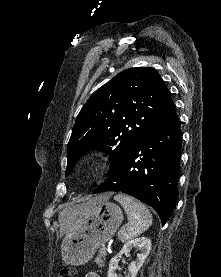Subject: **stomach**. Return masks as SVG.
<instances>
[{"label": "stomach", "mask_w": 221, "mask_h": 277, "mask_svg": "<svg viewBox=\"0 0 221 277\" xmlns=\"http://www.w3.org/2000/svg\"><path fill=\"white\" fill-rule=\"evenodd\" d=\"M95 202L96 198H92L82 204L81 211L68 224L61 242V256L66 264L88 263L123 221L119 206L109 201Z\"/></svg>", "instance_id": "0dacf381"}]
</instances>
